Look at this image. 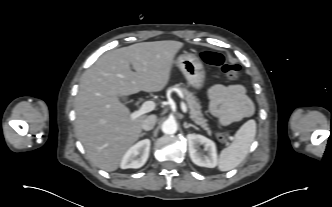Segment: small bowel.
<instances>
[{
  "mask_svg": "<svg viewBox=\"0 0 332 207\" xmlns=\"http://www.w3.org/2000/svg\"><path fill=\"white\" fill-rule=\"evenodd\" d=\"M209 96L210 112L221 125L240 121L254 112V105L241 85H214Z\"/></svg>",
  "mask_w": 332,
  "mask_h": 207,
  "instance_id": "small-bowel-1",
  "label": "small bowel"
}]
</instances>
